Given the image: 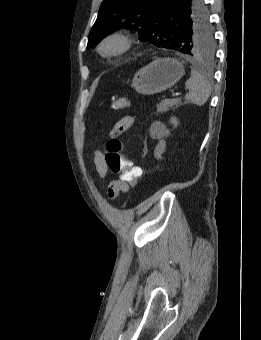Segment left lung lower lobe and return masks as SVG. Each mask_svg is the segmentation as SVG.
I'll return each instance as SVG.
<instances>
[{"mask_svg":"<svg viewBox=\"0 0 261 340\" xmlns=\"http://www.w3.org/2000/svg\"><path fill=\"white\" fill-rule=\"evenodd\" d=\"M202 3L204 0H165L161 6V20L175 23L177 18H190Z\"/></svg>","mask_w":261,"mask_h":340,"instance_id":"0a47b994","label":"left lung lower lobe"}]
</instances>
